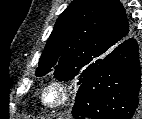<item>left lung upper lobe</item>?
<instances>
[{
  "mask_svg": "<svg viewBox=\"0 0 142 119\" xmlns=\"http://www.w3.org/2000/svg\"><path fill=\"white\" fill-rule=\"evenodd\" d=\"M119 0H74L59 16L36 69V76L77 77L81 85L99 63L132 35Z\"/></svg>",
  "mask_w": 142,
  "mask_h": 119,
  "instance_id": "5c2ea615",
  "label": "left lung upper lobe"
}]
</instances>
